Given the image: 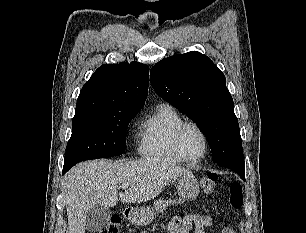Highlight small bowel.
Instances as JSON below:
<instances>
[{
    "label": "small bowel",
    "instance_id": "small-bowel-1",
    "mask_svg": "<svg viewBox=\"0 0 306 233\" xmlns=\"http://www.w3.org/2000/svg\"><path fill=\"white\" fill-rule=\"evenodd\" d=\"M213 218L208 215H199L192 212H184L181 216L172 218L169 222L168 233H205V228L213 226ZM221 233H235L231 228L224 227Z\"/></svg>",
    "mask_w": 306,
    "mask_h": 233
}]
</instances>
